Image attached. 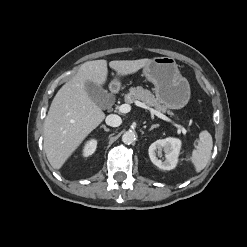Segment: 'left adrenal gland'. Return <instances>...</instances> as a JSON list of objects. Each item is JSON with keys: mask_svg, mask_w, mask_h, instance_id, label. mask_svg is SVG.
I'll return each mask as SVG.
<instances>
[{"mask_svg": "<svg viewBox=\"0 0 247 247\" xmlns=\"http://www.w3.org/2000/svg\"><path fill=\"white\" fill-rule=\"evenodd\" d=\"M156 127H159V124H153L149 130H153Z\"/></svg>", "mask_w": 247, "mask_h": 247, "instance_id": "a2214340", "label": "left adrenal gland"}]
</instances>
